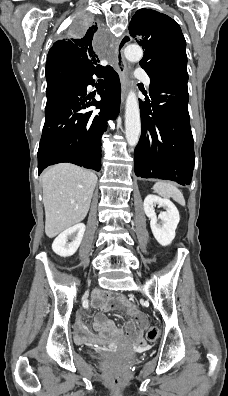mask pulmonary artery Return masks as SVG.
I'll use <instances>...</instances> for the list:
<instances>
[{
	"label": "pulmonary artery",
	"mask_w": 228,
	"mask_h": 396,
	"mask_svg": "<svg viewBox=\"0 0 228 396\" xmlns=\"http://www.w3.org/2000/svg\"><path fill=\"white\" fill-rule=\"evenodd\" d=\"M136 78L140 79L145 86L149 89L151 86V79L148 74L141 68H138L135 72Z\"/></svg>",
	"instance_id": "pulmonary-artery-1"
}]
</instances>
